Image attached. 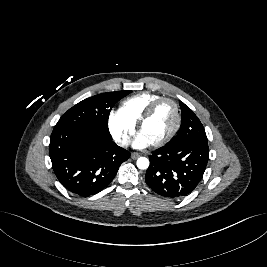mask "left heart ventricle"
<instances>
[{"label":"left heart ventricle","mask_w":267,"mask_h":267,"mask_svg":"<svg viewBox=\"0 0 267 267\" xmlns=\"http://www.w3.org/2000/svg\"><path fill=\"white\" fill-rule=\"evenodd\" d=\"M174 123L175 112L173 106L170 103H163L142 126L140 133L153 144L167 136Z\"/></svg>","instance_id":"left-heart-ventricle-1"}]
</instances>
